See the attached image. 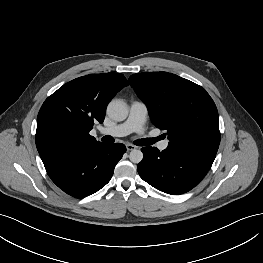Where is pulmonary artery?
I'll list each match as a JSON object with an SVG mask.
<instances>
[{"mask_svg": "<svg viewBox=\"0 0 263 263\" xmlns=\"http://www.w3.org/2000/svg\"><path fill=\"white\" fill-rule=\"evenodd\" d=\"M147 113L148 110L146 104L142 101L134 100L130 103L129 114L124 122L112 127L101 128L100 133L113 137H122L133 132L141 134L146 122ZM168 145L169 140H163L159 142L158 148L160 150H165Z\"/></svg>", "mask_w": 263, "mask_h": 263, "instance_id": "1", "label": "pulmonary artery"}]
</instances>
